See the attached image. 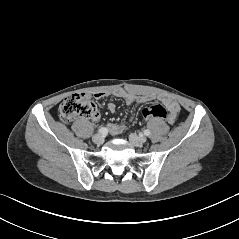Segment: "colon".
Listing matches in <instances>:
<instances>
[{
	"label": "colon",
	"instance_id": "colon-1",
	"mask_svg": "<svg viewBox=\"0 0 239 239\" xmlns=\"http://www.w3.org/2000/svg\"><path fill=\"white\" fill-rule=\"evenodd\" d=\"M95 112V104L84 93H75L66 97L59 106V117L65 123L80 116H92ZM142 114L148 119H164L167 118L168 111L162 105L150 104L142 109Z\"/></svg>",
	"mask_w": 239,
	"mask_h": 239
}]
</instances>
